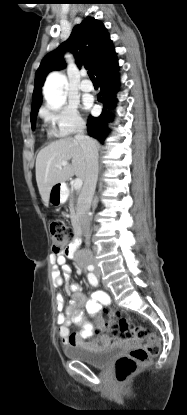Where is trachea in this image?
<instances>
[{
    "instance_id": "1",
    "label": "trachea",
    "mask_w": 187,
    "mask_h": 415,
    "mask_svg": "<svg viewBox=\"0 0 187 415\" xmlns=\"http://www.w3.org/2000/svg\"><path fill=\"white\" fill-rule=\"evenodd\" d=\"M88 76L90 77L92 81H96V78L91 71H88Z\"/></svg>"
}]
</instances>
